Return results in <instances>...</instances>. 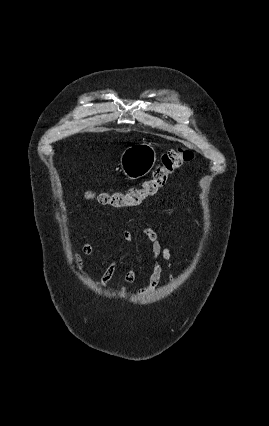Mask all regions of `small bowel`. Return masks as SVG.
I'll use <instances>...</instances> for the list:
<instances>
[{
	"instance_id": "obj_1",
	"label": "small bowel",
	"mask_w": 269,
	"mask_h": 426,
	"mask_svg": "<svg viewBox=\"0 0 269 426\" xmlns=\"http://www.w3.org/2000/svg\"><path fill=\"white\" fill-rule=\"evenodd\" d=\"M143 234L145 235L146 239L148 240L150 246H151V253H152V259H153V265H152V271L149 276L148 284L138 290V293L140 294H148L154 291V289L158 286L160 283V280L163 275V265L161 261L165 263V267L168 270V278L171 281L173 279V275L171 272L172 269V251L168 247L162 246L158 233L150 227H146L143 229ZM123 240L128 244H133L134 242V236L132 232L129 230L123 231L122 234ZM83 252L91 256L95 253L96 249L93 245H91L88 242H85L82 246ZM73 260L76 264V267L78 271L86 277V273L83 270V261L82 258L75 254L73 255ZM136 257L134 255H131L129 258V270L124 276V282L126 284H130L134 281L136 277ZM118 268V261H117V255L114 253L113 258L107 268L105 269L104 273L102 274L101 278L97 281V285L99 287H104L107 285V283L111 280V278L114 276Z\"/></svg>"
}]
</instances>
